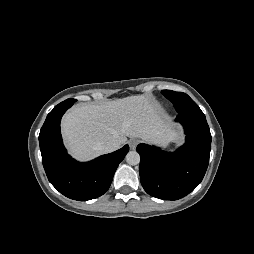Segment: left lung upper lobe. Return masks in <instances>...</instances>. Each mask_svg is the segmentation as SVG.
Returning <instances> with one entry per match:
<instances>
[{
  "mask_svg": "<svg viewBox=\"0 0 254 254\" xmlns=\"http://www.w3.org/2000/svg\"><path fill=\"white\" fill-rule=\"evenodd\" d=\"M162 94L170 100L178 114L195 113L204 115L199 106L185 93L163 90Z\"/></svg>",
  "mask_w": 254,
  "mask_h": 254,
  "instance_id": "left-lung-upper-lobe-1",
  "label": "left lung upper lobe"
}]
</instances>
